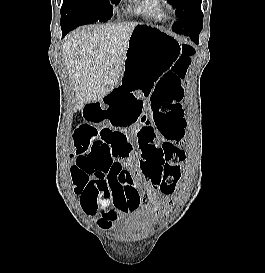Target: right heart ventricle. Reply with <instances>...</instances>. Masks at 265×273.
Returning a JSON list of instances; mask_svg holds the SVG:
<instances>
[{
	"label": "right heart ventricle",
	"mask_w": 265,
	"mask_h": 273,
	"mask_svg": "<svg viewBox=\"0 0 265 273\" xmlns=\"http://www.w3.org/2000/svg\"><path fill=\"white\" fill-rule=\"evenodd\" d=\"M137 12L157 22L167 19L165 6L161 0H142Z\"/></svg>",
	"instance_id": "obj_1"
}]
</instances>
